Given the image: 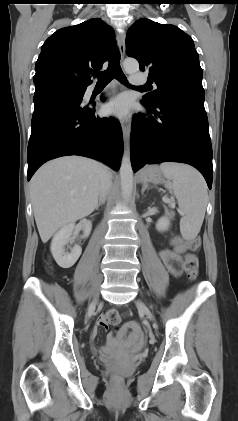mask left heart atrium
<instances>
[{
  "label": "left heart atrium",
  "mask_w": 238,
  "mask_h": 421,
  "mask_svg": "<svg viewBox=\"0 0 238 421\" xmlns=\"http://www.w3.org/2000/svg\"><path fill=\"white\" fill-rule=\"evenodd\" d=\"M129 101L126 96L120 95L109 101L105 105V112L108 115L117 117V118H125L129 114Z\"/></svg>",
  "instance_id": "obj_1"
}]
</instances>
